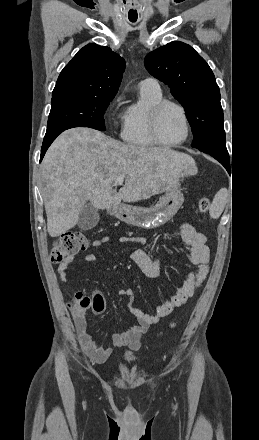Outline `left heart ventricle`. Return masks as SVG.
Wrapping results in <instances>:
<instances>
[{"label": "left heart ventricle", "instance_id": "obj_1", "mask_svg": "<svg viewBox=\"0 0 259 440\" xmlns=\"http://www.w3.org/2000/svg\"><path fill=\"white\" fill-rule=\"evenodd\" d=\"M160 138L167 143L181 140L185 135V125L180 111L173 107H166L161 113L158 126Z\"/></svg>", "mask_w": 259, "mask_h": 440}]
</instances>
